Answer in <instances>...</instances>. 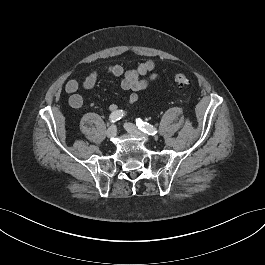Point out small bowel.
<instances>
[{
	"label": "small bowel",
	"instance_id": "1",
	"mask_svg": "<svg viewBox=\"0 0 265 265\" xmlns=\"http://www.w3.org/2000/svg\"><path fill=\"white\" fill-rule=\"evenodd\" d=\"M103 74L115 77H122L121 88L131 91L127 100V105H132L138 100V92L144 90L150 81L158 78L155 72V63L151 60L141 63L137 68L125 70L118 64H107L91 68L82 81L70 79L65 84V91L70 95L69 103L73 108H81L84 104V96L78 91L80 89L90 90L95 87L98 78ZM117 105L111 104L110 111H117Z\"/></svg>",
	"mask_w": 265,
	"mask_h": 265
}]
</instances>
